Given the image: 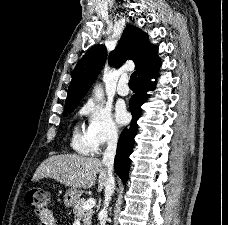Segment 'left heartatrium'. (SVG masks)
I'll return each mask as SVG.
<instances>
[{
	"label": "left heart atrium",
	"instance_id": "obj_1",
	"mask_svg": "<svg viewBox=\"0 0 228 225\" xmlns=\"http://www.w3.org/2000/svg\"><path fill=\"white\" fill-rule=\"evenodd\" d=\"M116 120L120 125H123L128 120V114L124 109H118L115 114Z\"/></svg>",
	"mask_w": 228,
	"mask_h": 225
}]
</instances>
